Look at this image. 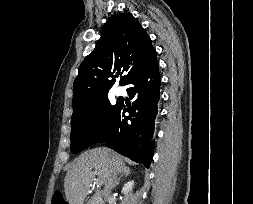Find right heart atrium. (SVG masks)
I'll return each instance as SVG.
<instances>
[{
    "label": "right heart atrium",
    "instance_id": "right-heart-atrium-1",
    "mask_svg": "<svg viewBox=\"0 0 253 204\" xmlns=\"http://www.w3.org/2000/svg\"><path fill=\"white\" fill-rule=\"evenodd\" d=\"M99 126V120L98 119H94L92 122H91V129L92 130H95L97 129Z\"/></svg>",
    "mask_w": 253,
    "mask_h": 204
}]
</instances>
